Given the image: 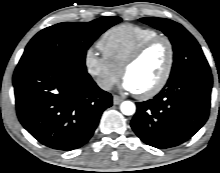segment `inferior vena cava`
<instances>
[{
    "mask_svg": "<svg viewBox=\"0 0 220 173\" xmlns=\"http://www.w3.org/2000/svg\"><path fill=\"white\" fill-rule=\"evenodd\" d=\"M98 86L105 91H109L112 89L113 83L109 80H101L98 82Z\"/></svg>",
    "mask_w": 220,
    "mask_h": 173,
    "instance_id": "1",
    "label": "inferior vena cava"
}]
</instances>
